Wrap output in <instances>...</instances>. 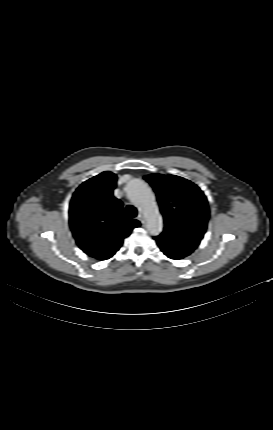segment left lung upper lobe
Returning a JSON list of instances; mask_svg holds the SVG:
<instances>
[{"label":"left lung upper lobe","mask_w":273,"mask_h":430,"mask_svg":"<svg viewBox=\"0 0 273 430\" xmlns=\"http://www.w3.org/2000/svg\"><path fill=\"white\" fill-rule=\"evenodd\" d=\"M144 178L156 192L164 217V230L154 237L158 246L171 259L190 255L207 228L209 209L204 193L179 176L151 174Z\"/></svg>","instance_id":"5c2ea615"}]
</instances>
